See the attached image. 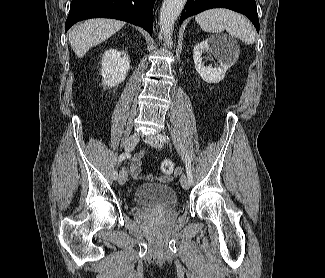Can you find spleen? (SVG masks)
<instances>
[{"mask_svg": "<svg viewBox=\"0 0 325 278\" xmlns=\"http://www.w3.org/2000/svg\"><path fill=\"white\" fill-rule=\"evenodd\" d=\"M195 20L205 32L221 33L226 30L245 44L255 41V30L250 21L228 9H210L196 15Z\"/></svg>", "mask_w": 325, "mask_h": 278, "instance_id": "obj_1", "label": "spleen"}]
</instances>
